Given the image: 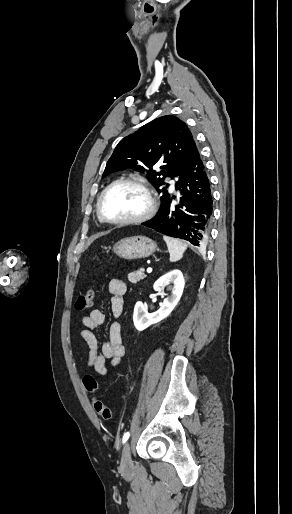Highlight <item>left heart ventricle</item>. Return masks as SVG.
<instances>
[{
    "label": "left heart ventricle",
    "mask_w": 292,
    "mask_h": 514,
    "mask_svg": "<svg viewBox=\"0 0 292 514\" xmlns=\"http://www.w3.org/2000/svg\"><path fill=\"white\" fill-rule=\"evenodd\" d=\"M144 192L133 185H119L107 192L102 201V213L111 220L135 217L146 209Z\"/></svg>",
    "instance_id": "1"
}]
</instances>
